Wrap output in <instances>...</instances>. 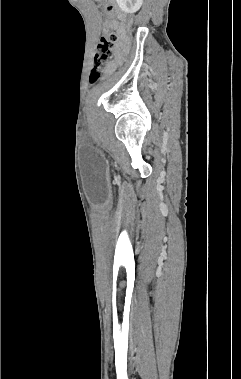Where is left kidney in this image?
Segmentation results:
<instances>
[{
  "label": "left kidney",
  "mask_w": 241,
  "mask_h": 379,
  "mask_svg": "<svg viewBox=\"0 0 241 379\" xmlns=\"http://www.w3.org/2000/svg\"><path fill=\"white\" fill-rule=\"evenodd\" d=\"M120 9L125 13H135L137 12L143 0H116Z\"/></svg>",
  "instance_id": "left-kidney-1"
}]
</instances>
